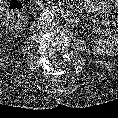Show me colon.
<instances>
[{"instance_id":"5ec220e1","label":"colon","mask_w":118,"mask_h":118,"mask_svg":"<svg viewBox=\"0 0 118 118\" xmlns=\"http://www.w3.org/2000/svg\"><path fill=\"white\" fill-rule=\"evenodd\" d=\"M118 5V0H117ZM22 20V3L19 0L10 2L5 17L4 23L7 27H17Z\"/></svg>"}]
</instances>
